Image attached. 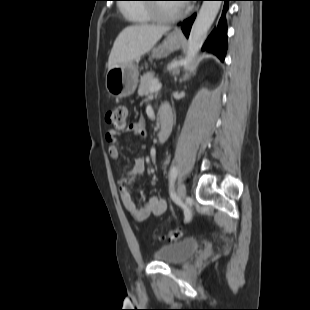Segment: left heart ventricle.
Here are the masks:
<instances>
[{
	"label": "left heart ventricle",
	"mask_w": 310,
	"mask_h": 310,
	"mask_svg": "<svg viewBox=\"0 0 310 310\" xmlns=\"http://www.w3.org/2000/svg\"><path fill=\"white\" fill-rule=\"evenodd\" d=\"M161 8L166 13H171V12H175V11L180 10V8L175 4H162Z\"/></svg>",
	"instance_id": "left-heart-ventricle-1"
}]
</instances>
